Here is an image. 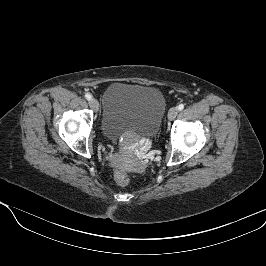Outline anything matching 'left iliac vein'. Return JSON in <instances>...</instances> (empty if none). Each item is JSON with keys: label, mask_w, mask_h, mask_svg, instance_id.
Returning <instances> with one entry per match:
<instances>
[{"label": "left iliac vein", "mask_w": 266, "mask_h": 266, "mask_svg": "<svg viewBox=\"0 0 266 266\" xmlns=\"http://www.w3.org/2000/svg\"><path fill=\"white\" fill-rule=\"evenodd\" d=\"M178 114V108L177 107H172L170 108V110L168 111V119L169 120H174L175 117Z\"/></svg>", "instance_id": "left-iliac-vein-1"}]
</instances>
